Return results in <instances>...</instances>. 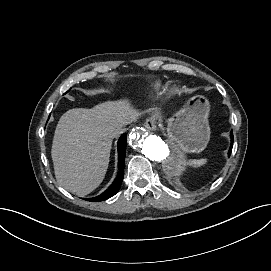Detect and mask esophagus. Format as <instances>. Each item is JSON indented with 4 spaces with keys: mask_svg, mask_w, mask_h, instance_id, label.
Returning <instances> with one entry per match:
<instances>
[{
    "mask_svg": "<svg viewBox=\"0 0 271 271\" xmlns=\"http://www.w3.org/2000/svg\"><path fill=\"white\" fill-rule=\"evenodd\" d=\"M145 127L149 130H156V119L154 117H150L145 121Z\"/></svg>",
    "mask_w": 271,
    "mask_h": 271,
    "instance_id": "34e87169",
    "label": "esophagus"
}]
</instances>
